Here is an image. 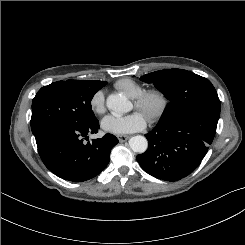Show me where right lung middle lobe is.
I'll use <instances>...</instances> for the list:
<instances>
[{"instance_id": "1", "label": "right lung middle lobe", "mask_w": 245, "mask_h": 245, "mask_svg": "<svg viewBox=\"0 0 245 245\" xmlns=\"http://www.w3.org/2000/svg\"><path fill=\"white\" fill-rule=\"evenodd\" d=\"M107 82L94 80L57 81L42 87L32 101L33 134L43 125L56 122L83 126L95 122L91 100Z\"/></svg>"}]
</instances>
